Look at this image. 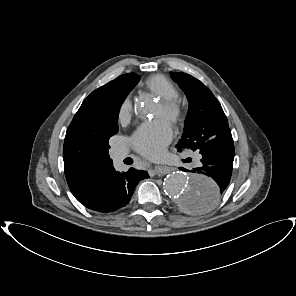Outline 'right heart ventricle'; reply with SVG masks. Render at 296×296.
I'll list each match as a JSON object with an SVG mask.
<instances>
[{"label":"right heart ventricle","instance_id":"right-heart-ventricle-1","mask_svg":"<svg viewBox=\"0 0 296 296\" xmlns=\"http://www.w3.org/2000/svg\"><path fill=\"white\" fill-rule=\"evenodd\" d=\"M146 87L161 99H178L179 91L176 86L163 75H153L146 82Z\"/></svg>","mask_w":296,"mask_h":296}]
</instances>
